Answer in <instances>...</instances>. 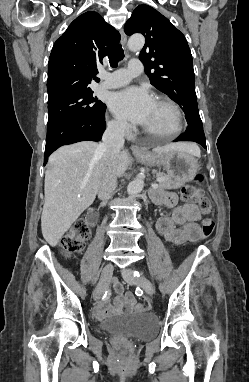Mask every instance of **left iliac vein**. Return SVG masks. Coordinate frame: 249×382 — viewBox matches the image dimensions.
<instances>
[{"label":"left iliac vein","instance_id":"obj_1","mask_svg":"<svg viewBox=\"0 0 249 382\" xmlns=\"http://www.w3.org/2000/svg\"><path fill=\"white\" fill-rule=\"evenodd\" d=\"M122 276L128 284L139 285L148 295H152L154 293V286L147 277L143 275H140L139 277H133L131 271L128 268L122 271Z\"/></svg>","mask_w":249,"mask_h":382}]
</instances>
